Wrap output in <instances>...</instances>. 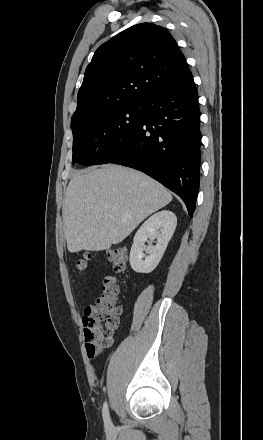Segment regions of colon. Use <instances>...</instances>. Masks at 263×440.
<instances>
[{
	"mask_svg": "<svg viewBox=\"0 0 263 440\" xmlns=\"http://www.w3.org/2000/svg\"><path fill=\"white\" fill-rule=\"evenodd\" d=\"M108 260L114 272L123 273L128 261V255L123 248L114 247L108 251ZM90 253H85L77 259L75 266L79 273L88 268ZM122 291L113 277L103 281L102 294L89 304L84 312L83 325L85 348L89 358H98L113 339L118 326L122 307L119 298Z\"/></svg>",
	"mask_w": 263,
	"mask_h": 440,
	"instance_id": "5ec220e1",
	"label": "colon"
}]
</instances>
